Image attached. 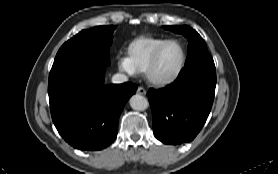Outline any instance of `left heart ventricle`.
<instances>
[{"instance_id":"b2bd125f","label":"left heart ventricle","mask_w":278,"mask_h":174,"mask_svg":"<svg viewBox=\"0 0 278 174\" xmlns=\"http://www.w3.org/2000/svg\"><path fill=\"white\" fill-rule=\"evenodd\" d=\"M182 59L180 45L170 43L159 54L155 66V74L159 77L171 76L179 67Z\"/></svg>"}]
</instances>
